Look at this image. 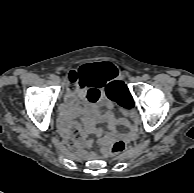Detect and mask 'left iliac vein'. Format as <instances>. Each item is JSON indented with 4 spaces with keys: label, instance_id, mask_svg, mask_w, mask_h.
I'll list each match as a JSON object with an SVG mask.
<instances>
[{
    "label": "left iliac vein",
    "instance_id": "obj_1",
    "mask_svg": "<svg viewBox=\"0 0 194 193\" xmlns=\"http://www.w3.org/2000/svg\"><path fill=\"white\" fill-rule=\"evenodd\" d=\"M143 80H144L143 77H137V78H136V81H143Z\"/></svg>",
    "mask_w": 194,
    "mask_h": 193
}]
</instances>
